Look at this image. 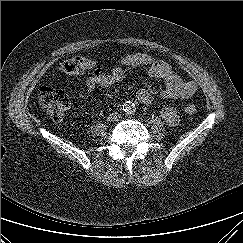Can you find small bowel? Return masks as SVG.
I'll return each mask as SVG.
<instances>
[{
  "label": "small bowel",
  "mask_w": 243,
  "mask_h": 243,
  "mask_svg": "<svg viewBox=\"0 0 243 243\" xmlns=\"http://www.w3.org/2000/svg\"><path fill=\"white\" fill-rule=\"evenodd\" d=\"M147 68L152 78L164 81L165 87L156 95L147 89H140L136 93L137 99L143 104H151L156 97L162 99H186L197 90V84L191 80L183 79L167 62L156 60L146 53H133L125 56L118 66L109 72L100 69L86 77L85 90L80 98L85 100L97 88H106L124 78L125 71ZM161 116L164 121L174 126L178 122V113L174 107L167 106L162 109Z\"/></svg>",
  "instance_id": "c3829d8e"
}]
</instances>
